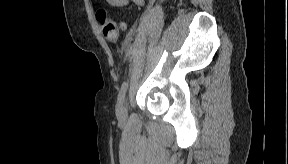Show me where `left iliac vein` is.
Wrapping results in <instances>:
<instances>
[{
    "label": "left iliac vein",
    "mask_w": 288,
    "mask_h": 164,
    "mask_svg": "<svg viewBox=\"0 0 288 164\" xmlns=\"http://www.w3.org/2000/svg\"><path fill=\"white\" fill-rule=\"evenodd\" d=\"M128 112H127V105L126 102L123 101L122 105L119 108L118 111V117L120 120H124L127 118Z\"/></svg>",
    "instance_id": "1"
}]
</instances>
